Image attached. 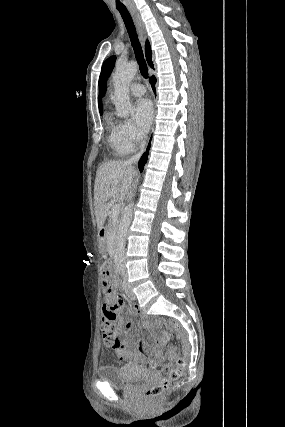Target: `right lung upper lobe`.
Instances as JSON below:
<instances>
[{
	"mask_svg": "<svg viewBox=\"0 0 285 427\" xmlns=\"http://www.w3.org/2000/svg\"><path fill=\"white\" fill-rule=\"evenodd\" d=\"M145 52H146V58H147L148 64L153 68V63L151 60L152 51H151L150 44L148 41L146 42V45H145ZM98 100H99V111H100V113H102V103L100 101V98Z\"/></svg>",
	"mask_w": 285,
	"mask_h": 427,
	"instance_id": "1",
	"label": "right lung upper lobe"
}]
</instances>
